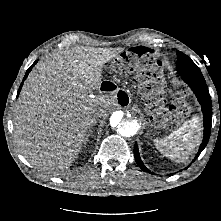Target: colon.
Returning a JSON list of instances; mask_svg holds the SVG:
<instances>
[{
  "mask_svg": "<svg viewBox=\"0 0 221 221\" xmlns=\"http://www.w3.org/2000/svg\"><path fill=\"white\" fill-rule=\"evenodd\" d=\"M153 56L144 48L138 47L125 52L122 57L116 62L117 70H125L132 63H151ZM177 112L183 114L186 112V105L182 100L176 101Z\"/></svg>",
  "mask_w": 221,
  "mask_h": 221,
  "instance_id": "5ec220e1",
  "label": "colon"
}]
</instances>
